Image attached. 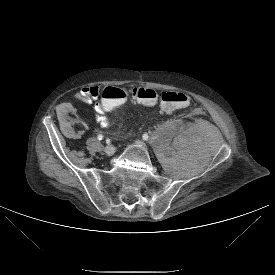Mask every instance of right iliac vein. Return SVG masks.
I'll list each match as a JSON object with an SVG mask.
<instances>
[{
    "mask_svg": "<svg viewBox=\"0 0 275 275\" xmlns=\"http://www.w3.org/2000/svg\"><path fill=\"white\" fill-rule=\"evenodd\" d=\"M115 147L112 146V145H109V146H106L105 149H104V153L107 155V156H111L114 154L115 152Z\"/></svg>",
    "mask_w": 275,
    "mask_h": 275,
    "instance_id": "obj_1",
    "label": "right iliac vein"
}]
</instances>
